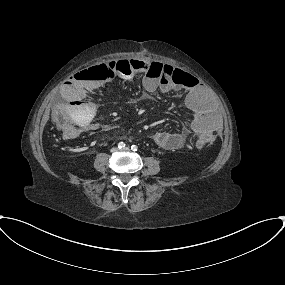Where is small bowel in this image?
Here are the masks:
<instances>
[{"mask_svg": "<svg viewBox=\"0 0 285 285\" xmlns=\"http://www.w3.org/2000/svg\"><path fill=\"white\" fill-rule=\"evenodd\" d=\"M145 67H149L151 61H139ZM186 76V84L175 85L167 87L160 84V82L152 77L145 76L143 78V86L148 92H155L161 90L165 93L169 92H183L184 93V106L191 113L192 119L189 129L181 128L176 131H158L152 136L153 142L162 149L173 150L181 148L188 137L189 131H192L198 137V146L203 144L200 138L205 134H215L218 130V121L207 110L205 105L206 93L203 88L195 82V77L189 73L184 72ZM107 75L103 79L85 80L82 78H69L65 85L61 88V96L66 102V106L70 110H76V130L73 133L66 135L67 137H77L88 130H94L100 127V123L92 122L83 124L82 119L92 117L95 113L94 105L89 101V94L102 87L110 80Z\"/></svg>", "mask_w": 285, "mask_h": 285, "instance_id": "1", "label": "small bowel"}]
</instances>
